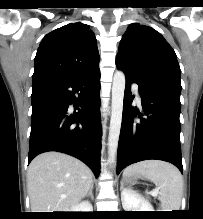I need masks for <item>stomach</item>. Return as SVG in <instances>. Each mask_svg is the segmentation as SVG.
<instances>
[{"instance_id":"1","label":"stomach","mask_w":203,"mask_h":219,"mask_svg":"<svg viewBox=\"0 0 203 219\" xmlns=\"http://www.w3.org/2000/svg\"><path fill=\"white\" fill-rule=\"evenodd\" d=\"M139 175H131V176H124L123 179L128 182L132 183Z\"/></svg>"}]
</instances>
